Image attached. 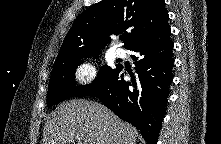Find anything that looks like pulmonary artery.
Here are the masks:
<instances>
[{"instance_id": "obj_1", "label": "pulmonary artery", "mask_w": 221, "mask_h": 144, "mask_svg": "<svg viewBox=\"0 0 221 144\" xmlns=\"http://www.w3.org/2000/svg\"><path fill=\"white\" fill-rule=\"evenodd\" d=\"M114 54L116 57H124L125 56V51L122 48H116L114 50Z\"/></svg>"}]
</instances>
